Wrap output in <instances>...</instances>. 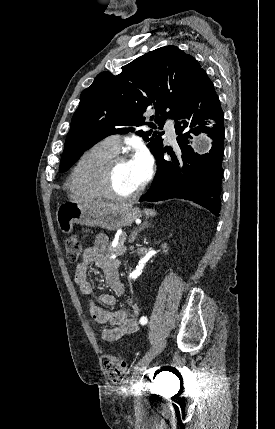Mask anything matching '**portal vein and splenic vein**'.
Instances as JSON below:
<instances>
[{
  "label": "portal vein and splenic vein",
  "instance_id": "portal-vein-and-splenic-vein-1",
  "mask_svg": "<svg viewBox=\"0 0 275 429\" xmlns=\"http://www.w3.org/2000/svg\"><path fill=\"white\" fill-rule=\"evenodd\" d=\"M122 236H123V241L125 242L126 234H123ZM124 242H123V243H124Z\"/></svg>",
  "mask_w": 275,
  "mask_h": 429
}]
</instances>
